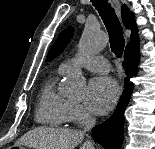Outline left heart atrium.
<instances>
[{
  "label": "left heart atrium",
  "mask_w": 155,
  "mask_h": 149,
  "mask_svg": "<svg viewBox=\"0 0 155 149\" xmlns=\"http://www.w3.org/2000/svg\"><path fill=\"white\" fill-rule=\"evenodd\" d=\"M118 96V86L110 77H96L88 85L85 104L97 115H105L114 106Z\"/></svg>",
  "instance_id": "left-heart-atrium-1"
}]
</instances>
